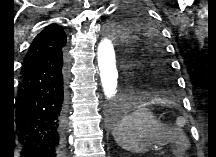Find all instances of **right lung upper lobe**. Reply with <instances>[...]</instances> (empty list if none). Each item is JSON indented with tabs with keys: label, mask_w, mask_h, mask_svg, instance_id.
<instances>
[{
	"label": "right lung upper lobe",
	"mask_w": 216,
	"mask_h": 157,
	"mask_svg": "<svg viewBox=\"0 0 216 157\" xmlns=\"http://www.w3.org/2000/svg\"><path fill=\"white\" fill-rule=\"evenodd\" d=\"M66 34L57 24L48 25L33 40L22 65L21 73L62 52Z\"/></svg>",
	"instance_id": "1"
}]
</instances>
